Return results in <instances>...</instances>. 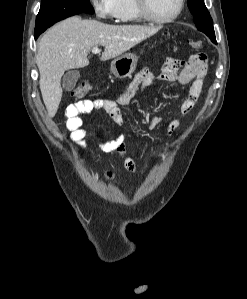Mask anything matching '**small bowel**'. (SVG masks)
<instances>
[{
  "label": "small bowel",
  "instance_id": "1",
  "mask_svg": "<svg viewBox=\"0 0 247 299\" xmlns=\"http://www.w3.org/2000/svg\"><path fill=\"white\" fill-rule=\"evenodd\" d=\"M207 59L205 54H195L188 61L178 59H168L159 75H155L149 69L141 70L134 81L126 88V90L118 97L117 100L110 99H85L70 104L65 111L66 129L70 132L71 140L81 147L86 144L88 133L83 127V115L93 110H103L110 117L112 122L122 127L124 124L123 115L119 108V104L125 105L130 102L137 92H143L144 89L155 81L173 82L178 81L181 85L191 83L188 95L183 99L180 105V111L183 114L188 113L198 100L204 77L207 70ZM161 118L150 116L148 120V128L153 130L160 126ZM178 126V120L172 119L168 124V133L173 134ZM101 151L109 153H118L123 158L124 167L132 172L138 173L139 167L136 161L130 156L126 148L124 137L121 133L116 134L110 140H102L99 142ZM107 179H114L113 173H107Z\"/></svg>",
  "mask_w": 247,
  "mask_h": 299
}]
</instances>
